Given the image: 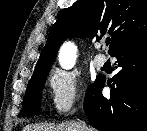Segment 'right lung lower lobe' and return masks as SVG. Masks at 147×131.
I'll list each match as a JSON object with an SVG mask.
<instances>
[{"label":"right lung lower lobe","mask_w":147,"mask_h":131,"mask_svg":"<svg viewBox=\"0 0 147 131\" xmlns=\"http://www.w3.org/2000/svg\"><path fill=\"white\" fill-rule=\"evenodd\" d=\"M111 56L119 68L108 82L111 95H102L105 79L97 77L85 95L86 116L99 131H147V34Z\"/></svg>","instance_id":"1"}]
</instances>
